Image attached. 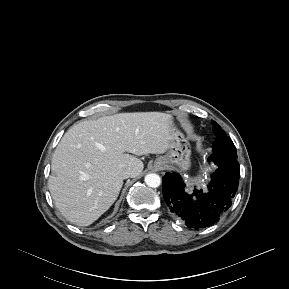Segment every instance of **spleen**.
Returning <instances> with one entry per match:
<instances>
[{"label": "spleen", "instance_id": "1", "mask_svg": "<svg viewBox=\"0 0 289 289\" xmlns=\"http://www.w3.org/2000/svg\"><path fill=\"white\" fill-rule=\"evenodd\" d=\"M189 184H195L198 188L205 186V180L201 176L187 178Z\"/></svg>", "mask_w": 289, "mask_h": 289}]
</instances>
